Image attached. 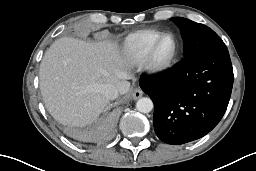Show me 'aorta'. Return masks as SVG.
Segmentation results:
<instances>
[{
    "label": "aorta",
    "instance_id": "obj_1",
    "mask_svg": "<svg viewBox=\"0 0 256 171\" xmlns=\"http://www.w3.org/2000/svg\"><path fill=\"white\" fill-rule=\"evenodd\" d=\"M154 105L150 98H140L136 103V108L141 113H149L152 111Z\"/></svg>",
    "mask_w": 256,
    "mask_h": 171
}]
</instances>
